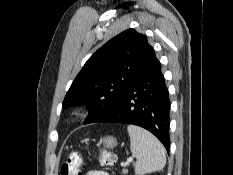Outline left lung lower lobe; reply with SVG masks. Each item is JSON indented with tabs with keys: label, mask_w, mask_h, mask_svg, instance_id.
I'll use <instances>...</instances> for the list:
<instances>
[{
	"label": "left lung lower lobe",
	"mask_w": 233,
	"mask_h": 175,
	"mask_svg": "<svg viewBox=\"0 0 233 175\" xmlns=\"http://www.w3.org/2000/svg\"><path fill=\"white\" fill-rule=\"evenodd\" d=\"M169 92L154 56L128 86L116 105L97 122L127 123L143 127L154 134L169 150Z\"/></svg>",
	"instance_id": "0a47b994"
}]
</instances>
